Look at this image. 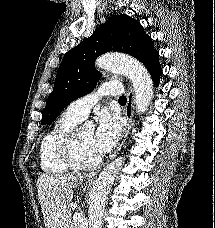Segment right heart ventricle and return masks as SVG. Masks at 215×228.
Masks as SVG:
<instances>
[{
    "mask_svg": "<svg viewBox=\"0 0 215 228\" xmlns=\"http://www.w3.org/2000/svg\"><path fill=\"white\" fill-rule=\"evenodd\" d=\"M81 121L64 111L44 134L40 149L39 158L41 169L47 174H61L71 169L60 157L58 144L60 139L77 126Z\"/></svg>",
    "mask_w": 215,
    "mask_h": 228,
    "instance_id": "right-heart-ventricle-1",
    "label": "right heart ventricle"
}]
</instances>
